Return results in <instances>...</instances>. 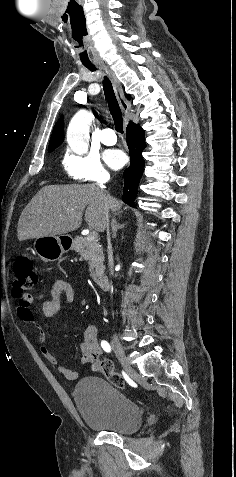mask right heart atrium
<instances>
[{
  "mask_svg": "<svg viewBox=\"0 0 236 477\" xmlns=\"http://www.w3.org/2000/svg\"><path fill=\"white\" fill-rule=\"evenodd\" d=\"M66 175L77 182L102 183L108 179V172L95 154L68 152L62 161Z\"/></svg>",
  "mask_w": 236,
  "mask_h": 477,
  "instance_id": "right-heart-atrium-1",
  "label": "right heart atrium"
}]
</instances>
